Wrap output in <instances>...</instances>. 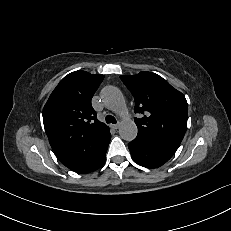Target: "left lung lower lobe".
Returning <instances> with one entry per match:
<instances>
[{"label":"left lung lower lobe","instance_id":"left-lung-lower-lobe-1","mask_svg":"<svg viewBox=\"0 0 231 231\" xmlns=\"http://www.w3.org/2000/svg\"><path fill=\"white\" fill-rule=\"evenodd\" d=\"M133 160L144 167L156 168L166 163L177 149L151 143L136 137L128 144Z\"/></svg>","mask_w":231,"mask_h":231}]
</instances>
